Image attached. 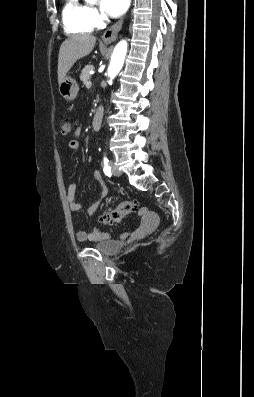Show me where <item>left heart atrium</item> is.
I'll list each match as a JSON object with an SVG mask.
<instances>
[{"label":"left heart atrium","mask_w":254,"mask_h":397,"mask_svg":"<svg viewBox=\"0 0 254 397\" xmlns=\"http://www.w3.org/2000/svg\"><path fill=\"white\" fill-rule=\"evenodd\" d=\"M129 3L130 0H101L100 5L105 14L118 17L128 9Z\"/></svg>","instance_id":"1"}]
</instances>
